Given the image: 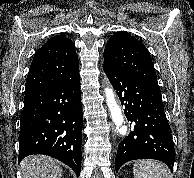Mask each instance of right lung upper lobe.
I'll return each instance as SVG.
<instances>
[{"label": "right lung upper lobe", "instance_id": "cb5924a9", "mask_svg": "<svg viewBox=\"0 0 194 178\" xmlns=\"http://www.w3.org/2000/svg\"><path fill=\"white\" fill-rule=\"evenodd\" d=\"M78 75L79 63L73 42L64 34L56 35L36 51L25 92L64 83Z\"/></svg>", "mask_w": 194, "mask_h": 178}]
</instances>
